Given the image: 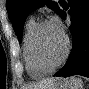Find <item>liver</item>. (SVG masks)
Masks as SVG:
<instances>
[{
  "label": "liver",
  "instance_id": "6515ba94",
  "mask_svg": "<svg viewBox=\"0 0 89 89\" xmlns=\"http://www.w3.org/2000/svg\"><path fill=\"white\" fill-rule=\"evenodd\" d=\"M59 80V78H49L38 83L31 84L28 89H49Z\"/></svg>",
  "mask_w": 89,
  "mask_h": 89
}]
</instances>
